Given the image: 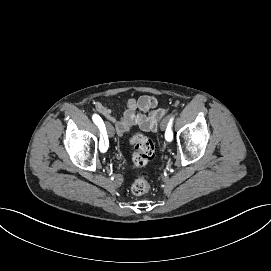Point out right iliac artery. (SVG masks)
Listing matches in <instances>:
<instances>
[{
	"mask_svg": "<svg viewBox=\"0 0 271 271\" xmlns=\"http://www.w3.org/2000/svg\"><path fill=\"white\" fill-rule=\"evenodd\" d=\"M92 119L100 130V139H102V141L104 142V150H106V151L111 150L112 147H111V145H109L110 141H109V139H107V132H106V128H105L103 120L97 114H94Z\"/></svg>",
	"mask_w": 271,
	"mask_h": 271,
	"instance_id": "1",
	"label": "right iliac artery"
}]
</instances>
